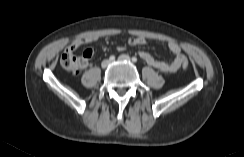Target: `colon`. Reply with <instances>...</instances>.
<instances>
[{"label":"colon","instance_id":"obj_1","mask_svg":"<svg viewBox=\"0 0 244 157\" xmlns=\"http://www.w3.org/2000/svg\"><path fill=\"white\" fill-rule=\"evenodd\" d=\"M93 51L87 49L83 55L78 56L75 54L74 50L66 49L60 58V64L62 68L67 70L72 74L80 73L87 65V60L92 57ZM181 65L183 68H187L189 65V61L185 56H182Z\"/></svg>","mask_w":244,"mask_h":157}]
</instances>
